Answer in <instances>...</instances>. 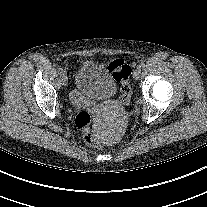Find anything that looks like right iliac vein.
<instances>
[{
	"label": "right iliac vein",
	"mask_w": 207,
	"mask_h": 207,
	"mask_svg": "<svg viewBox=\"0 0 207 207\" xmlns=\"http://www.w3.org/2000/svg\"><path fill=\"white\" fill-rule=\"evenodd\" d=\"M61 83L63 86H67V84H68V78L65 74L62 75V77H61Z\"/></svg>",
	"instance_id": "1"
}]
</instances>
